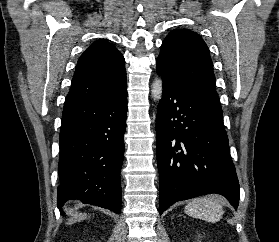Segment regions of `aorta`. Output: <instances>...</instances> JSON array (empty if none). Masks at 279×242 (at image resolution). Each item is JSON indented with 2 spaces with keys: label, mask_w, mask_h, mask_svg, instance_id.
<instances>
[{
  "label": "aorta",
  "mask_w": 279,
  "mask_h": 242,
  "mask_svg": "<svg viewBox=\"0 0 279 242\" xmlns=\"http://www.w3.org/2000/svg\"><path fill=\"white\" fill-rule=\"evenodd\" d=\"M162 96V81L156 79L152 85V97L155 101L160 100Z\"/></svg>",
  "instance_id": "aorta-1"
}]
</instances>
